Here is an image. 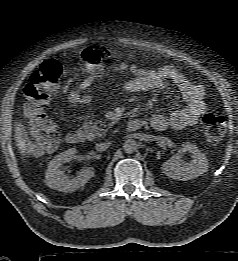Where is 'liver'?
I'll use <instances>...</instances> for the list:
<instances>
[{
  "label": "liver",
  "mask_w": 238,
  "mask_h": 261,
  "mask_svg": "<svg viewBox=\"0 0 238 261\" xmlns=\"http://www.w3.org/2000/svg\"><path fill=\"white\" fill-rule=\"evenodd\" d=\"M15 141L21 154H28L31 146L28 143L27 134L24 131V127L20 122L15 124Z\"/></svg>",
  "instance_id": "obj_1"
}]
</instances>
